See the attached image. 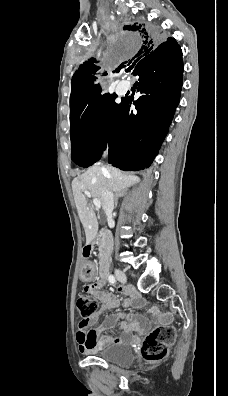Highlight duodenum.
<instances>
[{
    "instance_id": "410a0bca",
    "label": "duodenum",
    "mask_w": 228,
    "mask_h": 396,
    "mask_svg": "<svg viewBox=\"0 0 228 396\" xmlns=\"http://www.w3.org/2000/svg\"><path fill=\"white\" fill-rule=\"evenodd\" d=\"M94 246V243H89L85 247V251L90 253ZM97 249L99 252L100 273L103 274L105 272L106 260L110 252V236L108 232L101 233L100 240L97 243Z\"/></svg>"
}]
</instances>
